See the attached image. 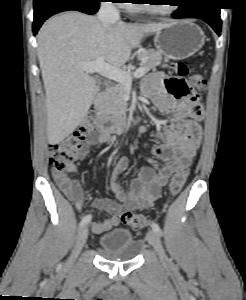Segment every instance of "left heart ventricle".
<instances>
[{
  "label": "left heart ventricle",
  "mask_w": 246,
  "mask_h": 300,
  "mask_svg": "<svg viewBox=\"0 0 246 300\" xmlns=\"http://www.w3.org/2000/svg\"><path fill=\"white\" fill-rule=\"evenodd\" d=\"M160 4H149V6L157 11H167L168 9H170L171 5H167L172 3V1H156Z\"/></svg>",
  "instance_id": "obj_1"
}]
</instances>
